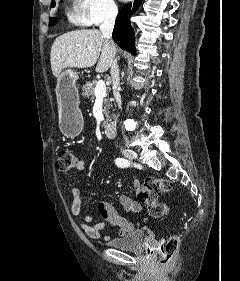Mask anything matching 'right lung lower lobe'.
I'll list each match as a JSON object with an SVG mask.
<instances>
[{"mask_svg": "<svg viewBox=\"0 0 240 281\" xmlns=\"http://www.w3.org/2000/svg\"><path fill=\"white\" fill-rule=\"evenodd\" d=\"M142 0L124 5L115 22L112 37L114 41L124 50L135 53L134 30L130 24V17L141 5Z\"/></svg>", "mask_w": 240, "mask_h": 281, "instance_id": "1", "label": "right lung lower lobe"}]
</instances>
